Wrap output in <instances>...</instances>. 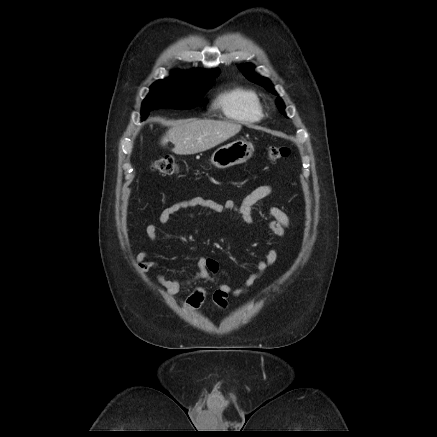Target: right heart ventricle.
Here are the masks:
<instances>
[{"instance_id":"right-heart-ventricle-1","label":"right heart ventricle","mask_w":437,"mask_h":437,"mask_svg":"<svg viewBox=\"0 0 437 437\" xmlns=\"http://www.w3.org/2000/svg\"><path fill=\"white\" fill-rule=\"evenodd\" d=\"M215 105L227 118L239 123H256L263 117L259 96L255 91L247 88L234 87L219 94Z\"/></svg>"}]
</instances>
